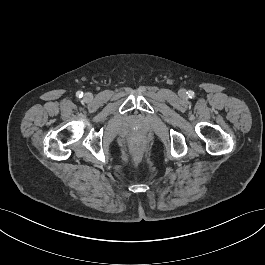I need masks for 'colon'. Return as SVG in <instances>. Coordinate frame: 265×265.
<instances>
[{"mask_svg": "<svg viewBox=\"0 0 265 265\" xmlns=\"http://www.w3.org/2000/svg\"><path fill=\"white\" fill-rule=\"evenodd\" d=\"M132 149L136 159H139L142 155V143L138 140L132 142Z\"/></svg>", "mask_w": 265, "mask_h": 265, "instance_id": "obj_1", "label": "colon"}]
</instances>
